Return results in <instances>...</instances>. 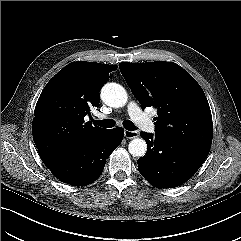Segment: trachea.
I'll list each match as a JSON object with an SVG mask.
<instances>
[{"label": "trachea", "mask_w": 241, "mask_h": 241, "mask_svg": "<svg viewBox=\"0 0 241 241\" xmlns=\"http://www.w3.org/2000/svg\"><path fill=\"white\" fill-rule=\"evenodd\" d=\"M93 123L99 125L100 127H104V128H112L115 126V121L112 119L98 120V121L94 120ZM123 126L129 131L135 130V125L130 120L124 121Z\"/></svg>", "instance_id": "obj_1"}]
</instances>
